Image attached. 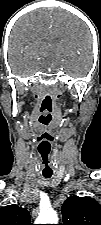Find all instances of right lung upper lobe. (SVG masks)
Wrapping results in <instances>:
<instances>
[{
    "mask_svg": "<svg viewBox=\"0 0 101 225\" xmlns=\"http://www.w3.org/2000/svg\"><path fill=\"white\" fill-rule=\"evenodd\" d=\"M0 225H32L29 212L18 205L0 208Z\"/></svg>",
    "mask_w": 101,
    "mask_h": 225,
    "instance_id": "obj_1",
    "label": "right lung upper lobe"
}]
</instances>
